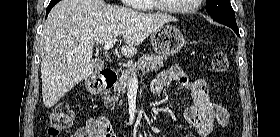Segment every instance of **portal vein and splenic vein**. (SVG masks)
Wrapping results in <instances>:
<instances>
[{"mask_svg":"<svg viewBox=\"0 0 280 137\" xmlns=\"http://www.w3.org/2000/svg\"><path fill=\"white\" fill-rule=\"evenodd\" d=\"M115 43H116V38L106 42L103 47L104 51H108L109 49H111ZM137 82H138V79H137L136 75H133L131 78V83H137Z\"/></svg>","mask_w":280,"mask_h":137,"instance_id":"1","label":"portal vein and splenic vein"}]
</instances>
